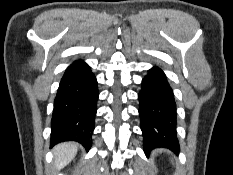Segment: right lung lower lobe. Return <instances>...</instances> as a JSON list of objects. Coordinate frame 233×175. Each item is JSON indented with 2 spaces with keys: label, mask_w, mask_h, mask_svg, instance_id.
Instances as JSON below:
<instances>
[{
  "label": "right lung lower lobe",
  "mask_w": 233,
  "mask_h": 175,
  "mask_svg": "<svg viewBox=\"0 0 233 175\" xmlns=\"http://www.w3.org/2000/svg\"><path fill=\"white\" fill-rule=\"evenodd\" d=\"M98 97L97 80L90 67L82 60L75 61L66 69L54 100L51 146L77 141L90 149Z\"/></svg>",
  "instance_id": "98d812e1"
}]
</instances>
